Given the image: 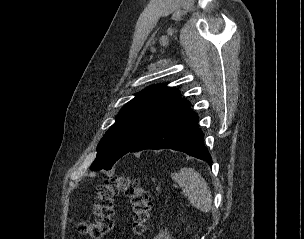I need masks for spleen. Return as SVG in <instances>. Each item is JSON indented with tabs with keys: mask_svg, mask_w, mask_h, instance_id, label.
<instances>
[{
	"mask_svg": "<svg viewBox=\"0 0 304 239\" xmlns=\"http://www.w3.org/2000/svg\"><path fill=\"white\" fill-rule=\"evenodd\" d=\"M172 178L182 187L184 194L196 209L207 213L212 208V195L204 178L192 168H181Z\"/></svg>",
	"mask_w": 304,
	"mask_h": 239,
	"instance_id": "spleen-1",
	"label": "spleen"
}]
</instances>
